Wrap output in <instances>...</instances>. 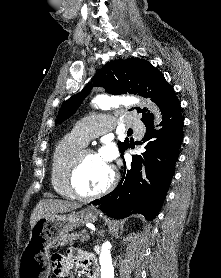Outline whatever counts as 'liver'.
<instances>
[{"mask_svg":"<svg viewBox=\"0 0 221 278\" xmlns=\"http://www.w3.org/2000/svg\"><path fill=\"white\" fill-rule=\"evenodd\" d=\"M80 207L81 205L75 202L58 200V199H54V200L43 199L36 205L35 209L31 214L30 217L31 228L42 217L51 214L66 213L78 209Z\"/></svg>","mask_w":221,"mask_h":278,"instance_id":"1","label":"liver"}]
</instances>
